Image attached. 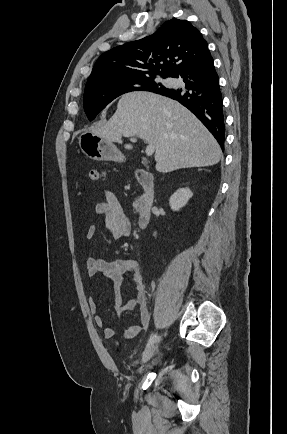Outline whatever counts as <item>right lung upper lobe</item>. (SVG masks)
<instances>
[{"mask_svg": "<svg viewBox=\"0 0 287 434\" xmlns=\"http://www.w3.org/2000/svg\"><path fill=\"white\" fill-rule=\"evenodd\" d=\"M207 53L208 44L196 27L186 20L171 19L153 35L103 53L86 84L146 75L174 77Z\"/></svg>", "mask_w": 287, "mask_h": 434, "instance_id": "cb5924a9", "label": "right lung upper lobe"}]
</instances>
